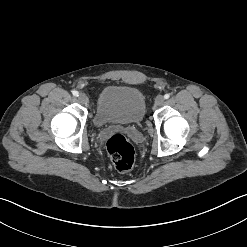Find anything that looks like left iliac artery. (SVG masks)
<instances>
[{"label":"left iliac artery","instance_id":"left-iliac-artery-1","mask_svg":"<svg viewBox=\"0 0 247 247\" xmlns=\"http://www.w3.org/2000/svg\"><path fill=\"white\" fill-rule=\"evenodd\" d=\"M169 97H170V94H165V95H164V98H165V99H168Z\"/></svg>","mask_w":247,"mask_h":247}]
</instances>
